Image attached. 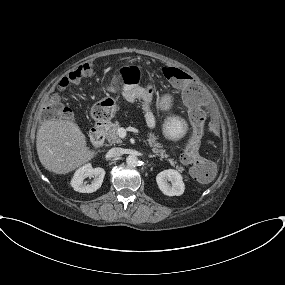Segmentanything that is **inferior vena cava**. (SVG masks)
Wrapping results in <instances>:
<instances>
[{"label":"inferior vena cava","instance_id":"1","mask_svg":"<svg viewBox=\"0 0 285 285\" xmlns=\"http://www.w3.org/2000/svg\"><path fill=\"white\" fill-rule=\"evenodd\" d=\"M110 157H118L123 154V149L120 147L111 148L108 152Z\"/></svg>","mask_w":285,"mask_h":285}]
</instances>
